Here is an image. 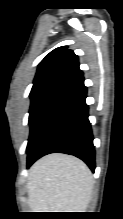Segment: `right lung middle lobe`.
I'll return each mask as SVG.
<instances>
[{
    "label": "right lung middle lobe",
    "mask_w": 123,
    "mask_h": 219,
    "mask_svg": "<svg viewBox=\"0 0 123 219\" xmlns=\"http://www.w3.org/2000/svg\"><path fill=\"white\" fill-rule=\"evenodd\" d=\"M69 84V81H53L31 90V106L29 111L30 135L26 150L28 159L32 155V146L40 133L46 115Z\"/></svg>",
    "instance_id": "1"
}]
</instances>
